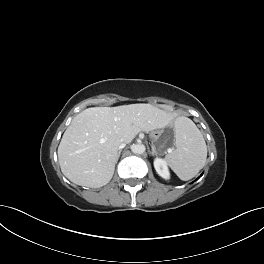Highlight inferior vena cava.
<instances>
[{
  "instance_id": "602c4592",
  "label": "inferior vena cava",
  "mask_w": 264,
  "mask_h": 264,
  "mask_svg": "<svg viewBox=\"0 0 264 264\" xmlns=\"http://www.w3.org/2000/svg\"><path fill=\"white\" fill-rule=\"evenodd\" d=\"M126 146V143H124L123 141H121L120 143H119V145H118V148L119 149H122V148H124Z\"/></svg>"
}]
</instances>
